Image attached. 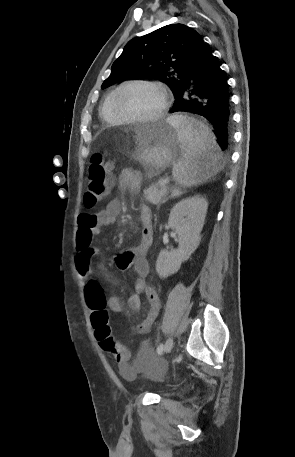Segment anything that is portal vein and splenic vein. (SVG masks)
I'll use <instances>...</instances> for the list:
<instances>
[{"instance_id":"18ae733b","label":"portal vein and splenic vein","mask_w":295,"mask_h":457,"mask_svg":"<svg viewBox=\"0 0 295 457\" xmlns=\"http://www.w3.org/2000/svg\"><path fill=\"white\" fill-rule=\"evenodd\" d=\"M167 183H168V180H167V179H161V180H160V185H161V186H165Z\"/></svg>"}]
</instances>
